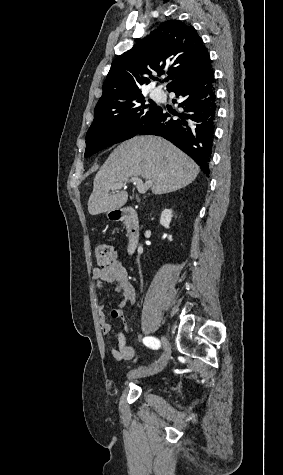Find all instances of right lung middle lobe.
Segmentation results:
<instances>
[{
    "instance_id": "right-lung-middle-lobe-1",
    "label": "right lung middle lobe",
    "mask_w": 283,
    "mask_h": 475,
    "mask_svg": "<svg viewBox=\"0 0 283 475\" xmlns=\"http://www.w3.org/2000/svg\"><path fill=\"white\" fill-rule=\"evenodd\" d=\"M144 103L143 96L139 95L123 103L95 108L94 121L86 134L84 157L138 134L160 109Z\"/></svg>"
}]
</instances>
